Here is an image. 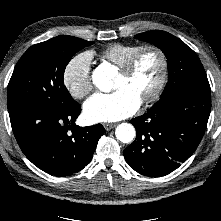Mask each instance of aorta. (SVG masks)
<instances>
[{"mask_svg":"<svg viewBox=\"0 0 221 221\" xmlns=\"http://www.w3.org/2000/svg\"><path fill=\"white\" fill-rule=\"evenodd\" d=\"M113 73L106 67L99 66L93 72V83L94 85L103 92H110L113 88ZM116 138L123 142H131L136 135V131L133 125L129 123H121L116 127L115 130Z\"/></svg>","mask_w":221,"mask_h":221,"instance_id":"obj_1","label":"aorta"}]
</instances>
